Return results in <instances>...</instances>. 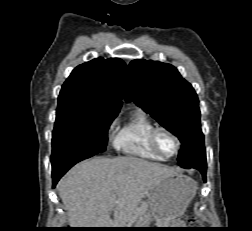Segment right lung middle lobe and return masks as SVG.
Wrapping results in <instances>:
<instances>
[{"label":"right lung middle lobe","instance_id":"obj_1","mask_svg":"<svg viewBox=\"0 0 252 231\" xmlns=\"http://www.w3.org/2000/svg\"><path fill=\"white\" fill-rule=\"evenodd\" d=\"M118 113L82 107L57 108L51 163L105 151L107 131Z\"/></svg>","mask_w":252,"mask_h":231}]
</instances>
